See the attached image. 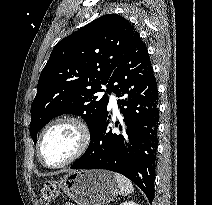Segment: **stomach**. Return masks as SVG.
<instances>
[{
	"instance_id": "0dacf381",
	"label": "stomach",
	"mask_w": 212,
	"mask_h": 205,
	"mask_svg": "<svg viewBox=\"0 0 212 205\" xmlns=\"http://www.w3.org/2000/svg\"><path fill=\"white\" fill-rule=\"evenodd\" d=\"M57 184L78 205H104L119 193L114 174L105 170L70 172Z\"/></svg>"
}]
</instances>
